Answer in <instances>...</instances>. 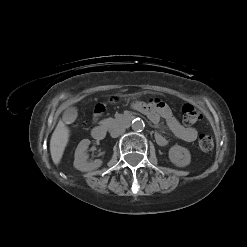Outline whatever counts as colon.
Wrapping results in <instances>:
<instances>
[{
    "instance_id": "5ec220e1",
    "label": "colon",
    "mask_w": 247,
    "mask_h": 247,
    "mask_svg": "<svg viewBox=\"0 0 247 247\" xmlns=\"http://www.w3.org/2000/svg\"><path fill=\"white\" fill-rule=\"evenodd\" d=\"M182 119L185 124L193 125L201 120L200 112L192 104H184L181 108ZM199 148L203 152H210L214 147L213 138L210 135L203 134L198 140Z\"/></svg>"
}]
</instances>
